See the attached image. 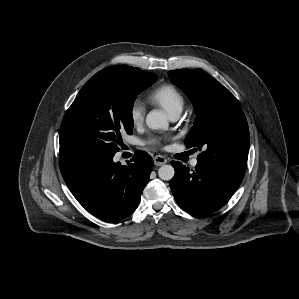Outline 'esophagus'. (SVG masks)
<instances>
[{"mask_svg": "<svg viewBox=\"0 0 299 299\" xmlns=\"http://www.w3.org/2000/svg\"><path fill=\"white\" fill-rule=\"evenodd\" d=\"M153 160H154V164L157 165V166H162L165 163H167V159L164 156H161V155L155 156Z\"/></svg>", "mask_w": 299, "mask_h": 299, "instance_id": "esophagus-1", "label": "esophagus"}]
</instances>
